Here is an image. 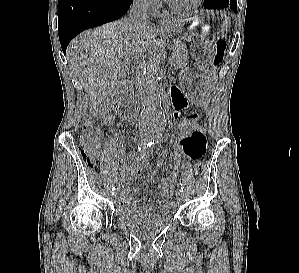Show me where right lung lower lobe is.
I'll return each mask as SVG.
<instances>
[{
    "mask_svg": "<svg viewBox=\"0 0 299 273\" xmlns=\"http://www.w3.org/2000/svg\"><path fill=\"white\" fill-rule=\"evenodd\" d=\"M131 3L132 0H59L58 35L64 54L77 34L120 18Z\"/></svg>",
    "mask_w": 299,
    "mask_h": 273,
    "instance_id": "1",
    "label": "right lung lower lobe"
}]
</instances>
